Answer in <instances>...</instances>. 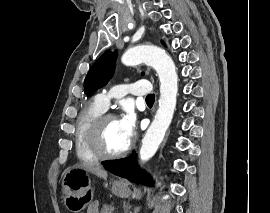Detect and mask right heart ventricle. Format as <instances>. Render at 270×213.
Here are the masks:
<instances>
[{"mask_svg":"<svg viewBox=\"0 0 270 213\" xmlns=\"http://www.w3.org/2000/svg\"><path fill=\"white\" fill-rule=\"evenodd\" d=\"M103 112L104 109L97 104L96 100H94L83 109L77 119L75 130V151L78 159L82 162L96 163L99 160L88 146L87 135L94 119Z\"/></svg>","mask_w":270,"mask_h":213,"instance_id":"right-heart-ventricle-1","label":"right heart ventricle"}]
</instances>
